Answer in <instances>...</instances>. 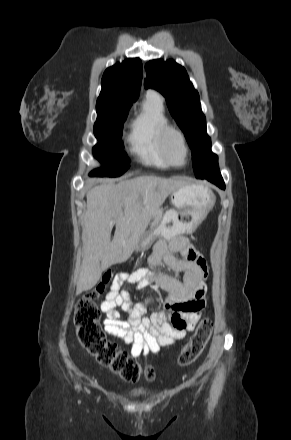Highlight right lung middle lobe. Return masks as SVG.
<instances>
[{
	"mask_svg": "<svg viewBox=\"0 0 291 440\" xmlns=\"http://www.w3.org/2000/svg\"><path fill=\"white\" fill-rule=\"evenodd\" d=\"M129 109L119 106L96 108L94 135L98 143L93 147V154L107 169H95L90 176L117 177L129 168V159L121 141L122 126Z\"/></svg>",
	"mask_w": 291,
	"mask_h": 440,
	"instance_id": "dd1d6c3e",
	"label": "right lung middle lobe"
}]
</instances>
